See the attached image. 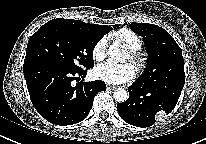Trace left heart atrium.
<instances>
[{"instance_id":"39dd6f15","label":"left heart atrium","mask_w":206,"mask_h":144,"mask_svg":"<svg viewBox=\"0 0 206 144\" xmlns=\"http://www.w3.org/2000/svg\"><path fill=\"white\" fill-rule=\"evenodd\" d=\"M95 76L109 84H121L136 77V68L131 63L117 64L108 61L96 67Z\"/></svg>"}]
</instances>
